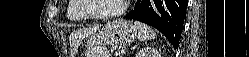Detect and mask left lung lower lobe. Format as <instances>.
Wrapping results in <instances>:
<instances>
[{
    "mask_svg": "<svg viewBox=\"0 0 249 57\" xmlns=\"http://www.w3.org/2000/svg\"><path fill=\"white\" fill-rule=\"evenodd\" d=\"M188 0H137L134 10L124 18L153 26L178 48Z\"/></svg>",
    "mask_w": 249,
    "mask_h": 57,
    "instance_id": "0a47b994",
    "label": "left lung lower lobe"
}]
</instances>
